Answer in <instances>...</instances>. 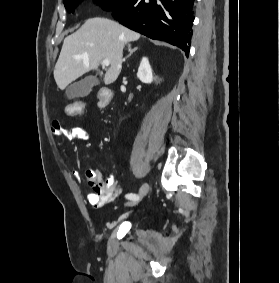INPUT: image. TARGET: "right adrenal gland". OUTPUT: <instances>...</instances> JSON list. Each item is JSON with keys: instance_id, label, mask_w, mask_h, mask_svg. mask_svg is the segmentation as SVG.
Returning <instances> with one entry per match:
<instances>
[{"instance_id": "1", "label": "right adrenal gland", "mask_w": 280, "mask_h": 283, "mask_svg": "<svg viewBox=\"0 0 280 283\" xmlns=\"http://www.w3.org/2000/svg\"><path fill=\"white\" fill-rule=\"evenodd\" d=\"M137 50H138V47H135L134 49H132L131 45H128L129 55L126 57V59L129 58L133 54V52H135ZM126 59H123V61H125Z\"/></svg>"}]
</instances>
